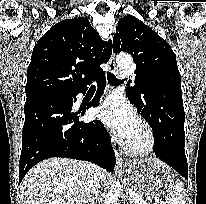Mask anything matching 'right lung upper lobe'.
<instances>
[{"label": "right lung upper lobe", "mask_w": 206, "mask_h": 204, "mask_svg": "<svg viewBox=\"0 0 206 204\" xmlns=\"http://www.w3.org/2000/svg\"><path fill=\"white\" fill-rule=\"evenodd\" d=\"M112 54L85 17L59 22L33 48L25 86L27 98L41 94H71L86 88L102 73Z\"/></svg>", "instance_id": "obj_1"}]
</instances>
